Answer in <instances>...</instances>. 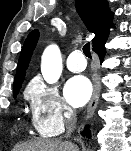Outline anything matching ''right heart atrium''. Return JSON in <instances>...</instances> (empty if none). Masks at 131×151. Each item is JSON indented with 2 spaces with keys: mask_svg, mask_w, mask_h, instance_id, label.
I'll return each mask as SVG.
<instances>
[{
  "mask_svg": "<svg viewBox=\"0 0 131 151\" xmlns=\"http://www.w3.org/2000/svg\"><path fill=\"white\" fill-rule=\"evenodd\" d=\"M27 97L31 104L34 127L41 136L60 134L74 117L73 110L65 103L57 87L40 79L30 83Z\"/></svg>",
  "mask_w": 131,
  "mask_h": 151,
  "instance_id": "right-heart-atrium-1",
  "label": "right heart atrium"
}]
</instances>
